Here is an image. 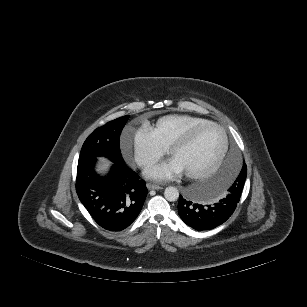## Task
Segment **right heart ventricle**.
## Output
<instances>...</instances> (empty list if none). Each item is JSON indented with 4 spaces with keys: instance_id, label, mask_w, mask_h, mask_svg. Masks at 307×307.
Masks as SVG:
<instances>
[{
    "instance_id": "1",
    "label": "right heart ventricle",
    "mask_w": 307,
    "mask_h": 307,
    "mask_svg": "<svg viewBox=\"0 0 307 307\" xmlns=\"http://www.w3.org/2000/svg\"><path fill=\"white\" fill-rule=\"evenodd\" d=\"M209 120L194 115H166L158 119L152 131L165 145L170 146L192 127Z\"/></svg>"
}]
</instances>
